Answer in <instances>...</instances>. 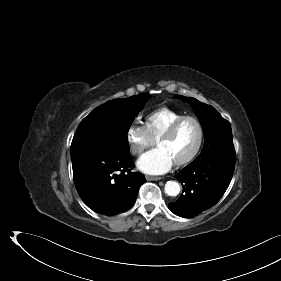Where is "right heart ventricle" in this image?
<instances>
[{"label":"right heart ventricle","mask_w":281,"mask_h":281,"mask_svg":"<svg viewBox=\"0 0 281 281\" xmlns=\"http://www.w3.org/2000/svg\"><path fill=\"white\" fill-rule=\"evenodd\" d=\"M181 112L168 107L153 110L145 117V126L154 141H157L167 128L179 117Z\"/></svg>","instance_id":"e07e8e85"}]
</instances>
